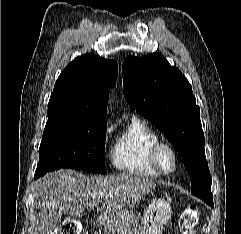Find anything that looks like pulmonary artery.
Returning <instances> with one entry per match:
<instances>
[{
	"label": "pulmonary artery",
	"instance_id": "pulmonary-artery-1",
	"mask_svg": "<svg viewBox=\"0 0 241 234\" xmlns=\"http://www.w3.org/2000/svg\"><path fill=\"white\" fill-rule=\"evenodd\" d=\"M133 119H137V117H136V116H133Z\"/></svg>",
	"mask_w": 241,
	"mask_h": 234
}]
</instances>
